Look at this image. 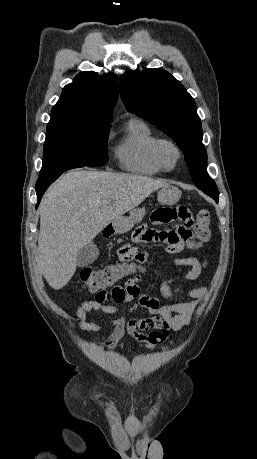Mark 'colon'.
Masks as SVG:
<instances>
[{
  "label": "colon",
  "instance_id": "5ec220e1",
  "mask_svg": "<svg viewBox=\"0 0 257 459\" xmlns=\"http://www.w3.org/2000/svg\"><path fill=\"white\" fill-rule=\"evenodd\" d=\"M210 221V213L207 209L198 211L193 220V227L197 229V234L193 241L194 243L191 246L186 243L185 249H197L203 242L209 240ZM142 265L143 264H114L101 269L86 267L82 269L80 277L89 291L97 293L96 299L98 301H104L107 299V296L104 294V290H106L107 286L123 278L137 275L142 271Z\"/></svg>",
  "mask_w": 257,
  "mask_h": 459
}]
</instances>
